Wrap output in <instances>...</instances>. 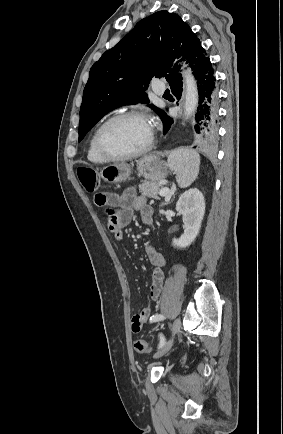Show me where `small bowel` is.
Masks as SVG:
<instances>
[{"mask_svg":"<svg viewBox=\"0 0 283 434\" xmlns=\"http://www.w3.org/2000/svg\"><path fill=\"white\" fill-rule=\"evenodd\" d=\"M94 200L97 206L105 208L107 226L117 241L122 240L123 229L131 222L135 212L140 213L142 221L146 224L152 220L153 210L151 206L147 204L144 197L138 196L132 188L125 190L121 195L106 192L97 193ZM145 252L148 260L154 266L150 296L153 300H157L165 282L163 267L166 261L164 256L150 245L145 246ZM150 315V308H144L136 314L131 322L132 331L139 333Z\"/></svg>","mask_w":283,"mask_h":434,"instance_id":"small-bowel-1","label":"small bowel"}]
</instances>
